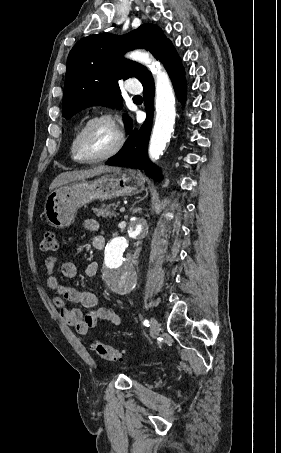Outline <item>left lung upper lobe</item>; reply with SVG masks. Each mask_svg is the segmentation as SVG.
<instances>
[{
  "label": "left lung upper lobe",
  "mask_w": 281,
  "mask_h": 453,
  "mask_svg": "<svg viewBox=\"0 0 281 453\" xmlns=\"http://www.w3.org/2000/svg\"><path fill=\"white\" fill-rule=\"evenodd\" d=\"M170 40L156 25L143 24L136 30L117 36L95 34L79 40L70 51L63 93L62 115L69 119L93 105L122 108L118 81L136 77L139 81L150 73L144 66L122 58L129 50L145 48L157 59ZM129 134L132 120L124 115Z\"/></svg>",
  "instance_id": "left-lung-upper-lobe-1"
}]
</instances>
